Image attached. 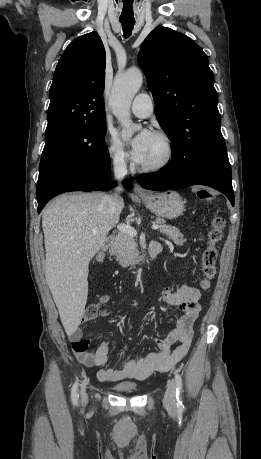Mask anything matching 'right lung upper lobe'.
Segmentation results:
<instances>
[{
  "instance_id": "right-lung-upper-lobe-1",
  "label": "right lung upper lobe",
  "mask_w": 261,
  "mask_h": 459,
  "mask_svg": "<svg viewBox=\"0 0 261 459\" xmlns=\"http://www.w3.org/2000/svg\"><path fill=\"white\" fill-rule=\"evenodd\" d=\"M106 55L96 32L71 42L58 62L49 92L46 132L97 123L105 118Z\"/></svg>"
}]
</instances>
